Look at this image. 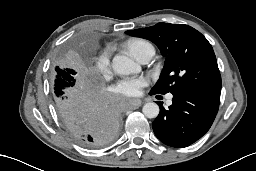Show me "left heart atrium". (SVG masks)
Wrapping results in <instances>:
<instances>
[{
  "mask_svg": "<svg viewBox=\"0 0 256 171\" xmlns=\"http://www.w3.org/2000/svg\"><path fill=\"white\" fill-rule=\"evenodd\" d=\"M147 85V81L142 77L126 78L119 81L114 90L115 93L126 97H136L142 92V88Z\"/></svg>",
  "mask_w": 256,
  "mask_h": 171,
  "instance_id": "obj_1",
  "label": "left heart atrium"
}]
</instances>
